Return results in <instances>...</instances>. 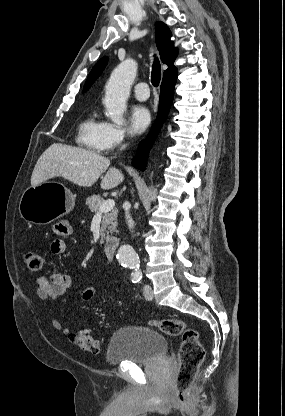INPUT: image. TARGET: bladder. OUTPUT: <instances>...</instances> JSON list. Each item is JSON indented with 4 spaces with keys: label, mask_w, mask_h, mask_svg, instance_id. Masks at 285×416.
<instances>
[{
    "label": "bladder",
    "mask_w": 285,
    "mask_h": 416,
    "mask_svg": "<svg viewBox=\"0 0 285 416\" xmlns=\"http://www.w3.org/2000/svg\"><path fill=\"white\" fill-rule=\"evenodd\" d=\"M161 355H167V341L146 326L125 325L111 336L107 350L108 363H152Z\"/></svg>",
    "instance_id": "bladder-1"
}]
</instances>
